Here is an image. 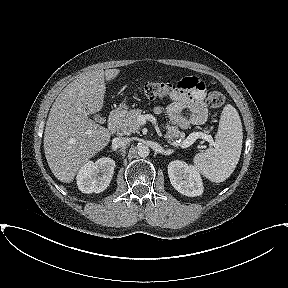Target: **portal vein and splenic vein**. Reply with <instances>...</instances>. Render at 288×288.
<instances>
[{
	"label": "portal vein and splenic vein",
	"instance_id": "18ae733b",
	"mask_svg": "<svg viewBox=\"0 0 288 288\" xmlns=\"http://www.w3.org/2000/svg\"><path fill=\"white\" fill-rule=\"evenodd\" d=\"M147 119H148V120H154L155 118H154L152 115H150V114L138 116L139 123H141V124H144ZM198 138H202V139H204V140H206V141H208V142L213 143V139H212V137H211L210 135H207V134H205V133H203V132H193V133H191V134L187 137V139H185V140L183 141L182 148H187V147H189V146L192 145V144L196 141V139H198Z\"/></svg>",
	"mask_w": 288,
	"mask_h": 288
}]
</instances>
